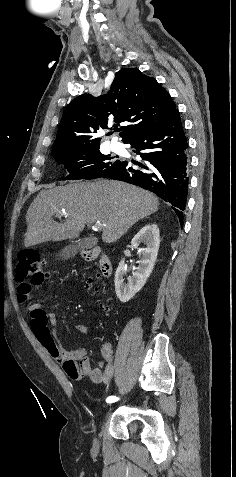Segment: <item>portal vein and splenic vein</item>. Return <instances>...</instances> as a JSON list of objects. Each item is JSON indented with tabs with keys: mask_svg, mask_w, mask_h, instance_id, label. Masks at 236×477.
Here are the masks:
<instances>
[{
	"mask_svg": "<svg viewBox=\"0 0 236 477\" xmlns=\"http://www.w3.org/2000/svg\"><path fill=\"white\" fill-rule=\"evenodd\" d=\"M58 216H60V217H61V216L67 217L68 214H67L66 212H62V213H60ZM102 227H103V224H101V223H99V222L95 223V224L92 226V228H93L94 230H99V229H101Z\"/></svg>",
	"mask_w": 236,
	"mask_h": 477,
	"instance_id": "1",
	"label": "portal vein and splenic vein"
}]
</instances>
